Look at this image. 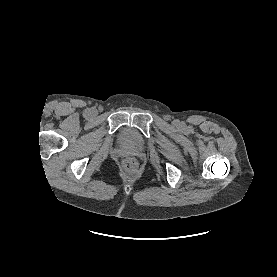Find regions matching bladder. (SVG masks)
I'll use <instances>...</instances> for the list:
<instances>
[{
  "label": "bladder",
  "mask_w": 277,
  "mask_h": 277,
  "mask_svg": "<svg viewBox=\"0 0 277 277\" xmlns=\"http://www.w3.org/2000/svg\"><path fill=\"white\" fill-rule=\"evenodd\" d=\"M121 139L129 145H140L142 143V135L132 127H126L121 131Z\"/></svg>",
  "instance_id": "1"
}]
</instances>
